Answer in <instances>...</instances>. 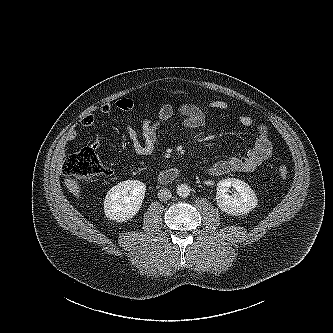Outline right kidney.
Instances as JSON below:
<instances>
[{
    "mask_svg": "<svg viewBox=\"0 0 333 333\" xmlns=\"http://www.w3.org/2000/svg\"><path fill=\"white\" fill-rule=\"evenodd\" d=\"M146 185L138 180H126L112 187L104 200L105 216L117 222L133 218L141 208Z\"/></svg>",
    "mask_w": 333,
    "mask_h": 333,
    "instance_id": "1",
    "label": "right kidney"
}]
</instances>
